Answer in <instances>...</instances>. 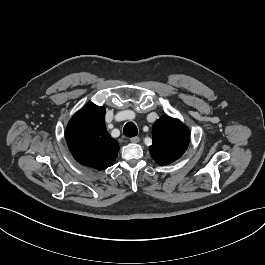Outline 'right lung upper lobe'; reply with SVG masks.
<instances>
[{
  "mask_svg": "<svg viewBox=\"0 0 265 265\" xmlns=\"http://www.w3.org/2000/svg\"><path fill=\"white\" fill-rule=\"evenodd\" d=\"M105 109L86 104L69 121L66 139L69 149L79 163L103 170L114 164L119 145L105 127Z\"/></svg>",
  "mask_w": 265,
  "mask_h": 265,
  "instance_id": "cb5924a9",
  "label": "right lung upper lobe"
}]
</instances>
